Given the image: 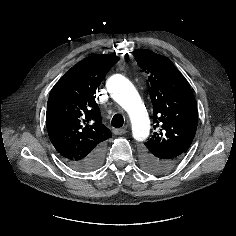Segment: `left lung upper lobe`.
Instances as JSON below:
<instances>
[{
	"label": "left lung upper lobe",
	"mask_w": 236,
	"mask_h": 236,
	"mask_svg": "<svg viewBox=\"0 0 236 236\" xmlns=\"http://www.w3.org/2000/svg\"><path fill=\"white\" fill-rule=\"evenodd\" d=\"M134 56L149 75L155 129L145 142L141 163L156 172L162 155L189 149L197 129V105L189 83L168 58L145 49L135 50Z\"/></svg>",
	"instance_id": "left-lung-upper-lobe-1"
}]
</instances>
